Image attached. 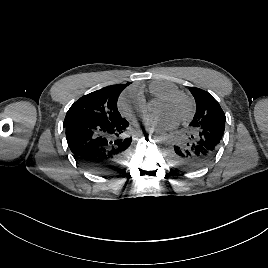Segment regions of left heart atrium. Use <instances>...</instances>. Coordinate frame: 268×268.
I'll return each mask as SVG.
<instances>
[{
    "label": "left heart atrium",
    "instance_id": "left-heart-atrium-1",
    "mask_svg": "<svg viewBox=\"0 0 268 268\" xmlns=\"http://www.w3.org/2000/svg\"><path fill=\"white\" fill-rule=\"evenodd\" d=\"M176 120L167 114H160L152 119L154 125L162 128H171L176 124Z\"/></svg>",
    "mask_w": 268,
    "mask_h": 268
}]
</instances>
